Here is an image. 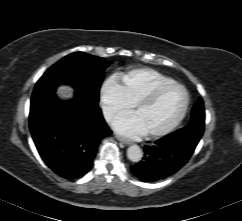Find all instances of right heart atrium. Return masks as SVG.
<instances>
[{"mask_svg": "<svg viewBox=\"0 0 242 221\" xmlns=\"http://www.w3.org/2000/svg\"><path fill=\"white\" fill-rule=\"evenodd\" d=\"M100 102L104 118L109 122L133 106L122 86L114 78H109L101 84Z\"/></svg>", "mask_w": 242, "mask_h": 221, "instance_id": "obj_1", "label": "right heart atrium"}]
</instances>
